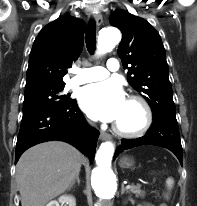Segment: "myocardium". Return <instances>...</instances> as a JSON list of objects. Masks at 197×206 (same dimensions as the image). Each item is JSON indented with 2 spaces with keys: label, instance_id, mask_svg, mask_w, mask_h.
Returning <instances> with one entry per match:
<instances>
[{
  "label": "myocardium",
  "instance_id": "f54148a6",
  "mask_svg": "<svg viewBox=\"0 0 197 206\" xmlns=\"http://www.w3.org/2000/svg\"><path fill=\"white\" fill-rule=\"evenodd\" d=\"M128 101L136 103L140 107L142 111V123L135 129H125L117 123H115L113 126V130L120 136L138 137L145 134L147 130L150 128L153 121L152 110L148 101L140 95L132 94L128 97Z\"/></svg>",
  "mask_w": 197,
  "mask_h": 206
}]
</instances>
